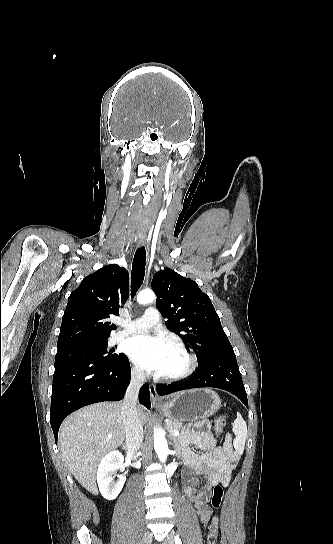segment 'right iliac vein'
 Listing matches in <instances>:
<instances>
[{
	"label": "right iliac vein",
	"mask_w": 333,
	"mask_h": 544,
	"mask_svg": "<svg viewBox=\"0 0 333 544\" xmlns=\"http://www.w3.org/2000/svg\"><path fill=\"white\" fill-rule=\"evenodd\" d=\"M151 541L152 534L149 531L145 532L142 538V544H151Z\"/></svg>",
	"instance_id": "right-iliac-vein-1"
}]
</instances>
